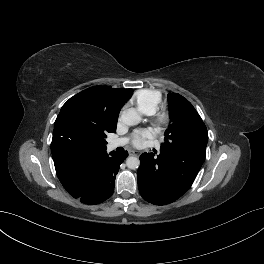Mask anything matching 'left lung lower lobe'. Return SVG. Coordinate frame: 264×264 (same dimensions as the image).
<instances>
[{
	"instance_id": "left-lung-lower-lobe-1",
	"label": "left lung lower lobe",
	"mask_w": 264,
	"mask_h": 264,
	"mask_svg": "<svg viewBox=\"0 0 264 264\" xmlns=\"http://www.w3.org/2000/svg\"><path fill=\"white\" fill-rule=\"evenodd\" d=\"M154 154L140 156L138 188L149 203L164 205L177 200L191 187L205 160L206 145Z\"/></svg>"
}]
</instances>
